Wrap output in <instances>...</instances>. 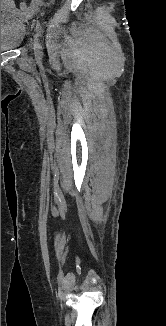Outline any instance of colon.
I'll return each instance as SVG.
<instances>
[{
    "label": "colon",
    "mask_w": 166,
    "mask_h": 326,
    "mask_svg": "<svg viewBox=\"0 0 166 326\" xmlns=\"http://www.w3.org/2000/svg\"><path fill=\"white\" fill-rule=\"evenodd\" d=\"M20 10L26 16L29 15L31 13V11H32L31 6L29 4H27V3H25V2H22L20 4Z\"/></svg>",
    "instance_id": "1"
}]
</instances>
